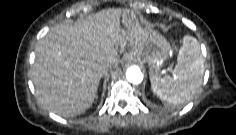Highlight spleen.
I'll use <instances>...</instances> for the list:
<instances>
[{
  "label": "spleen",
  "instance_id": "1",
  "mask_svg": "<svg viewBox=\"0 0 236 135\" xmlns=\"http://www.w3.org/2000/svg\"><path fill=\"white\" fill-rule=\"evenodd\" d=\"M204 59L196 38L186 35L171 74L150 77L154 93L163 101L180 104L190 100L202 84Z\"/></svg>",
  "mask_w": 236,
  "mask_h": 135
}]
</instances>
